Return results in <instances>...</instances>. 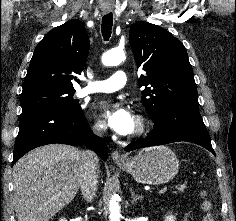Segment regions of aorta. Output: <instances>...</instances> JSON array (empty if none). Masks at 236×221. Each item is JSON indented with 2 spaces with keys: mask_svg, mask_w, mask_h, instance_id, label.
Instances as JSON below:
<instances>
[{
  "mask_svg": "<svg viewBox=\"0 0 236 221\" xmlns=\"http://www.w3.org/2000/svg\"><path fill=\"white\" fill-rule=\"evenodd\" d=\"M125 59L123 50L113 49L102 55L101 61L104 66H116ZM110 221H120V206L116 196H112L109 202Z\"/></svg>",
  "mask_w": 236,
  "mask_h": 221,
  "instance_id": "obj_1",
  "label": "aorta"
}]
</instances>
